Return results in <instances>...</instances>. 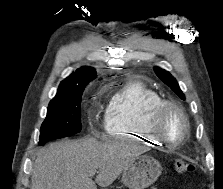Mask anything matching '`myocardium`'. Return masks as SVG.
<instances>
[{"label":"myocardium","instance_id":"1","mask_svg":"<svg viewBox=\"0 0 223 189\" xmlns=\"http://www.w3.org/2000/svg\"><path fill=\"white\" fill-rule=\"evenodd\" d=\"M169 110L178 112L184 123V133L176 142H170L162 133V120ZM149 131L163 144L170 147H178L190 135V121L185 110L179 104L169 100H162L149 115Z\"/></svg>","mask_w":223,"mask_h":189}]
</instances>
